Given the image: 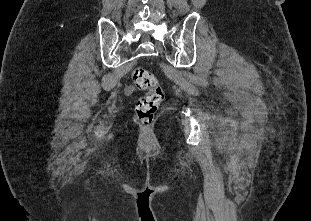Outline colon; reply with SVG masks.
Wrapping results in <instances>:
<instances>
[{"instance_id": "5ec220e1", "label": "colon", "mask_w": 311, "mask_h": 221, "mask_svg": "<svg viewBox=\"0 0 311 221\" xmlns=\"http://www.w3.org/2000/svg\"><path fill=\"white\" fill-rule=\"evenodd\" d=\"M132 80L137 89L147 90L148 93L138 99L135 108V120L140 125H148L164 99L163 89L156 77L145 68H135Z\"/></svg>"}]
</instances>
